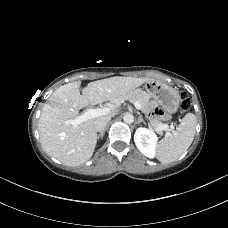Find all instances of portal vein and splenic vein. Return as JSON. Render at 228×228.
<instances>
[{
  "instance_id": "obj_1",
  "label": "portal vein and splenic vein",
  "mask_w": 228,
  "mask_h": 228,
  "mask_svg": "<svg viewBox=\"0 0 228 228\" xmlns=\"http://www.w3.org/2000/svg\"><path fill=\"white\" fill-rule=\"evenodd\" d=\"M134 106L136 107V109L140 110L141 109V104L139 102H134L133 103ZM113 108H97V109H88L85 113L81 114L80 116H78L77 118H75L74 120H67L65 121V124H70L73 126H77L80 123L88 120V119H92V118H96L99 116H103L106 115L108 113H110L112 111ZM168 129V126L166 127Z\"/></svg>"
}]
</instances>
